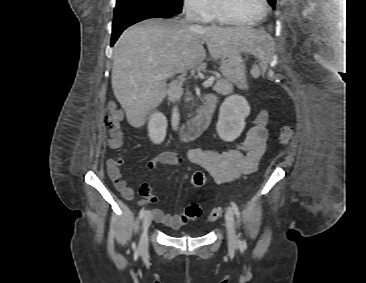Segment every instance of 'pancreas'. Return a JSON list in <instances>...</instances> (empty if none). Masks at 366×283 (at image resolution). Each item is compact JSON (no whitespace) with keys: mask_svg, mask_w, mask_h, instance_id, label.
<instances>
[{"mask_svg":"<svg viewBox=\"0 0 366 283\" xmlns=\"http://www.w3.org/2000/svg\"><path fill=\"white\" fill-rule=\"evenodd\" d=\"M213 90L222 95H228L233 92V84L227 79H218L215 83ZM189 96L186 100H191Z\"/></svg>","mask_w":366,"mask_h":283,"instance_id":"obj_1","label":"pancreas"}]
</instances>
